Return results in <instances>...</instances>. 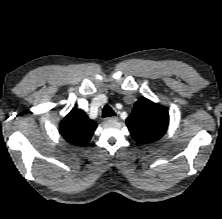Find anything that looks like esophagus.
<instances>
[{
  "mask_svg": "<svg viewBox=\"0 0 222 219\" xmlns=\"http://www.w3.org/2000/svg\"><path fill=\"white\" fill-rule=\"evenodd\" d=\"M118 120V117H107L105 118L106 122H116Z\"/></svg>",
  "mask_w": 222,
  "mask_h": 219,
  "instance_id": "obj_1",
  "label": "esophagus"
}]
</instances>
